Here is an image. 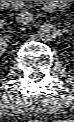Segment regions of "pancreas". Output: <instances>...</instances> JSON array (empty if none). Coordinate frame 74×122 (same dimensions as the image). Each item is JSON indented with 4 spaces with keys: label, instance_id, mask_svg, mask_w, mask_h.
Instances as JSON below:
<instances>
[{
    "label": "pancreas",
    "instance_id": "obj_1",
    "mask_svg": "<svg viewBox=\"0 0 74 122\" xmlns=\"http://www.w3.org/2000/svg\"><path fill=\"white\" fill-rule=\"evenodd\" d=\"M38 2V1H36ZM13 6L16 8V9H20L22 7H32V5L30 4L29 1H15Z\"/></svg>",
    "mask_w": 74,
    "mask_h": 122
}]
</instances>
